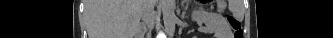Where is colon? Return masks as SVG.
<instances>
[{
	"mask_svg": "<svg viewBox=\"0 0 333 38\" xmlns=\"http://www.w3.org/2000/svg\"><path fill=\"white\" fill-rule=\"evenodd\" d=\"M227 19L234 32L233 38H242L243 31H242L241 22L233 16H228Z\"/></svg>",
	"mask_w": 333,
	"mask_h": 38,
	"instance_id": "5ec220e1",
	"label": "colon"
}]
</instances>
